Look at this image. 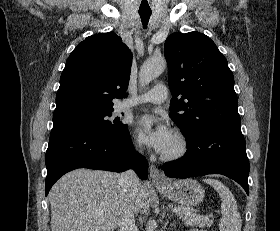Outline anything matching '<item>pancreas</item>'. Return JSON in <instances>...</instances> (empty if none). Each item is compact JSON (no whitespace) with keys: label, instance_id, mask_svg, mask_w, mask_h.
<instances>
[{"label":"pancreas","instance_id":"cf45deb5","mask_svg":"<svg viewBox=\"0 0 280 231\" xmlns=\"http://www.w3.org/2000/svg\"><path fill=\"white\" fill-rule=\"evenodd\" d=\"M177 215L182 217V221H184V225H199V227H209L212 225L213 219H210L208 215H201V213H196L193 209H189V207H184V205H180V211H176Z\"/></svg>","mask_w":280,"mask_h":231}]
</instances>
